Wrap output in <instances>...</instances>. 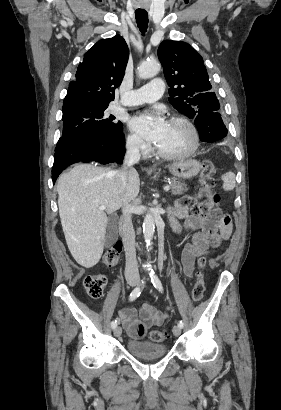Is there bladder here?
Returning a JSON list of instances; mask_svg holds the SVG:
<instances>
[{"label":"bladder","instance_id":"bladder-1","mask_svg":"<svg viewBox=\"0 0 281 410\" xmlns=\"http://www.w3.org/2000/svg\"><path fill=\"white\" fill-rule=\"evenodd\" d=\"M128 352L140 358H156L167 353V347L160 343L136 340H129L127 343Z\"/></svg>","mask_w":281,"mask_h":410}]
</instances>
